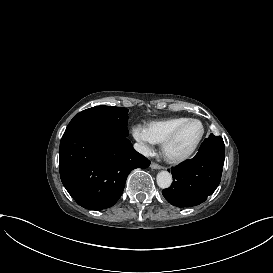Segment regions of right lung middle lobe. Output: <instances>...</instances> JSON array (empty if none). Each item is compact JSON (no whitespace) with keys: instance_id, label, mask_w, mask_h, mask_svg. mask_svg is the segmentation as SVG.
<instances>
[{"instance_id":"1","label":"right lung middle lobe","mask_w":273,"mask_h":273,"mask_svg":"<svg viewBox=\"0 0 273 273\" xmlns=\"http://www.w3.org/2000/svg\"><path fill=\"white\" fill-rule=\"evenodd\" d=\"M128 109L112 106H96L78 113L65 132L76 129H94L117 136H128Z\"/></svg>"}]
</instances>
